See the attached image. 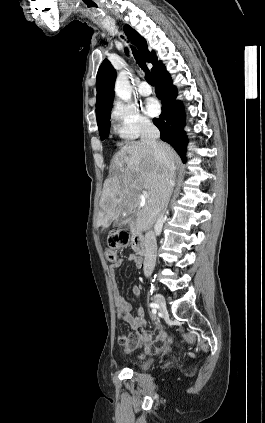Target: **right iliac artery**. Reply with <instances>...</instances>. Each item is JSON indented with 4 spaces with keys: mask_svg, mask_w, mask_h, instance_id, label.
Here are the masks:
<instances>
[{
    "mask_svg": "<svg viewBox=\"0 0 265 423\" xmlns=\"http://www.w3.org/2000/svg\"><path fill=\"white\" fill-rule=\"evenodd\" d=\"M150 307L152 308V313H156V308H157V305L155 304V303H151L150 304Z\"/></svg>",
    "mask_w": 265,
    "mask_h": 423,
    "instance_id": "1",
    "label": "right iliac artery"
}]
</instances>
